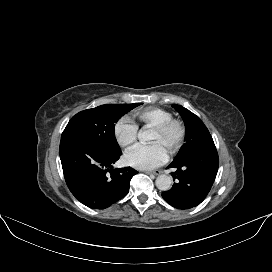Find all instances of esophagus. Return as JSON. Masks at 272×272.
Returning a JSON list of instances; mask_svg holds the SVG:
<instances>
[{"mask_svg": "<svg viewBox=\"0 0 272 272\" xmlns=\"http://www.w3.org/2000/svg\"><path fill=\"white\" fill-rule=\"evenodd\" d=\"M146 174L159 175V174H161V171L160 170L148 171V172H146Z\"/></svg>", "mask_w": 272, "mask_h": 272, "instance_id": "obj_1", "label": "esophagus"}]
</instances>
